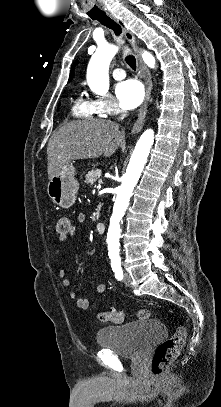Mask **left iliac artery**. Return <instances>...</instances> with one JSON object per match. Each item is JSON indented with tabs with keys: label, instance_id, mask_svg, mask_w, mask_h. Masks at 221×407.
<instances>
[{
	"label": "left iliac artery",
	"instance_id": "44dca946",
	"mask_svg": "<svg viewBox=\"0 0 221 407\" xmlns=\"http://www.w3.org/2000/svg\"><path fill=\"white\" fill-rule=\"evenodd\" d=\"M112 269L115 273V278L119 281L122 280L123 278V270L121 268V264L120 263H112Z\"/></svg>",
	"mask_w": 221,
	"mask_h": 407
}]
</instances>
